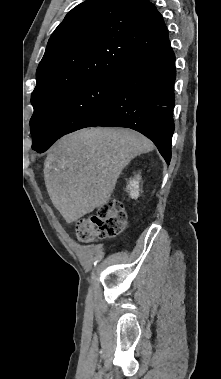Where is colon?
I'll return each instance as SVG.
<instances>
[{
  "label": "colon",
  "mask_w": 221,
  "mask_h": 379,
  "mask_svg": "<svg viewBox=\"0 0 221 379\" xmlns=\"http://www.w3.org/2000/svg\"><path fill=\"white\" fill-rule=\"evenodd\" d=\"M127 224L123 204L110 200L100 206L94 214L76 223V236L80 242L89 243L96 239L113 237L121 233Z\"/></svg>",
  "instance_id": "colon-1"
}]
</instances>
